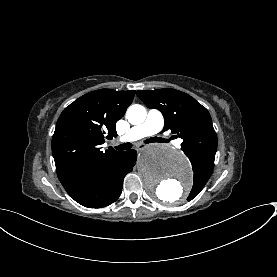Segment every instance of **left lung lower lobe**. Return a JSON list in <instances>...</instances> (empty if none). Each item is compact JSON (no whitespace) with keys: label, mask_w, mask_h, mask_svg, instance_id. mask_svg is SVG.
Returning <instances> with one entry per match:
<instances>
[{"label":"left lung lower lobe","mask_w":277,"mask_h":277,"mask_svg":"<svg viewBox=\"0 0 277 277\" xmlns=\"http://www.w3.org/2000/svg\"><path fill=\"white\" fill-rule=\"evenodd\" d=\"M206 151H208V152H214V150H211V149H208V150H206ZM216 153V152H215Z\"/></svg>","instance_id":"obj_1"}]
</instances>
